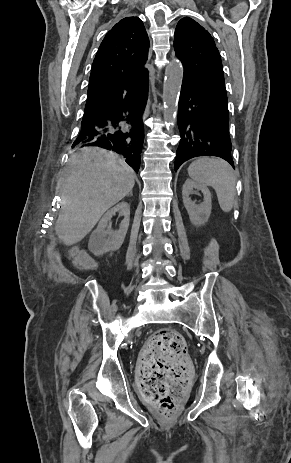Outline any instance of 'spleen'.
Wrapping results in <instances>:
<instances>
[{"label":"spleen","mask_w":291,"mask_h":463,"mask_svg":"<svg viewBox=\"0 0 291 463\" xmlns=\"http://www.w3.org/2000/svg\"><path fill=\"white\" fill-rule=\"evenodd\" d=\"M191 179L199 184L211 186L217 194L220 208L230 212L236 195V180L231 166L222 159L200 158L188 167Z\"/></svg>","instance_id":"1"}]
</instances>
